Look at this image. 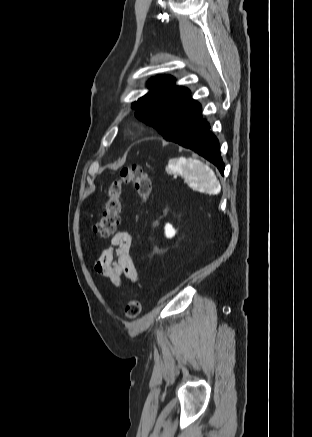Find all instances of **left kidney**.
I'll use <instances>...</instances> for the list:
<instances>
[{
  "label": "left kidney",
  "instance_id": "5707ae66",
  "mask_svg": "<svg viewBox=\"0 0 312 437\" xmlns=\"http://www.w3.org/2000/svg\"><path fill=\"white\" fill-rule=\"evenodd\" d=\"M175 234H176V230L173 228L171 224L167 223L165 225V236L167 238H172L175 236Z\"/></svg>",
  "mask_w": 312,
  "mask_h": 437
}]
</instances>
